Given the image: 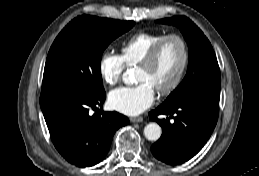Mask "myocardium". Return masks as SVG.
Wrapping results in <instances>:
<instances>
[{"label":"myocardium","instance_id":"myocardium-1","mask_svg":"<svg viewBox=\"0 0 259 176\" xmlns=\"http://www.w3.org/2000/svg\"><path fill=\"white\" fill-rule=\"evenodd\" d=\"M169 40H176L179 42L182 49V62L175 78L165 87H161L157 89L158 94L161 96H166L174 92L179 87L186 74L188 64H189L190 54H189L188 43L185 40V38L178 34L165 35L151 48V50L147 53V55L138 64V67H143V68H148L152 66L155 63L162 47Z\"/></svg>","mask_w":259,"mask_h":176}]
</instances>
